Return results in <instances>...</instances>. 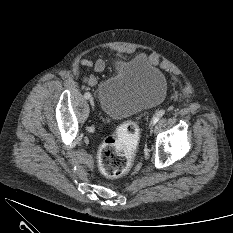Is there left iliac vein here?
<instances>
[{"mask_svg": "<svg viewBox=\"0 0 233 233\" xmlns=\"http://www.w3.org/2000/svg\"><path fill=\"white\" fill-rule=\"evenodd\" d=\"M151 124H152V123H151ZM153 129H154V124H152L151 127H150V133L153 132Z\"/></svg>", "mask_w": 233, "mask_h": 233, "instance_id": "4c4485c4", "label": "left iliac vein"}]
</instances>
